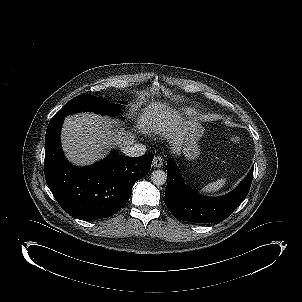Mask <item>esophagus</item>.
Masks as SVG:
<instances>
[{
	"label": "esophagus",
	"instance_id": "esophagus-1",
	"mask_svg": "<svg viewBox=\"0 0 302 302\" xmlns=\"http://www.w3.org/2000/svg\"><path fill=\"white\" fill-rule=\"evenodd\" d=\"M152 166L156 168H160L163 166V159L161 156H155L152 162Z\"/></svg>",
	"mask_w": 302,
	"mask_h": 302
}]
</instances>
